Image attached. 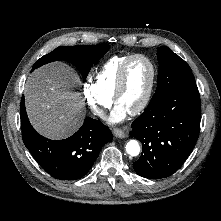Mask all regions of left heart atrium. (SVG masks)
Listing matches in <instances>:
<instances>
[{"instance_id": "39dd6f15", "label": "left heart atrium", "mask_w": 221, "mask_h": 221, "mask_svg": "<svg viewBox=\"0 0 221 221\" xmlns=\"http://www.w3.org/2000/svg\"><path fill=\"white\" fill-rule=\"evenodd\" d=\"M128 113L129 112L125 110L123 107H121L120 105H116L109 117V121L112 123L121 122L126 118Z\"/></svg>"}]
</instances>
